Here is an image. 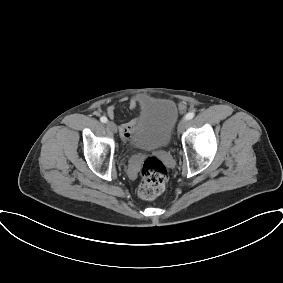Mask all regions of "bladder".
<instances>
[{"label": "bladder", "mask_w": 283, "mask_h": 283, "mask_svg": "<svg viewBox=\"0 0 283 283\" xmlns=\"http://www.w3.org/2000/svg\"><path fill=\"white\" fill-rule=\"evenodd\" d=\"M178 121V109L174 101H152L143 111L135 138L139 148H165L170 144L173 129Z\"/></svg>", "instance_id": "31cf9c89"}]
</instances>
